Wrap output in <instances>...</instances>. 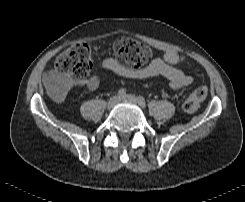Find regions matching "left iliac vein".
I'll return each instance as SVG.
<instances>
[{
    "mask_svg": "<svg viewBox=\"0 0 245 202\" xmlns=\"http://www.w3.org/2000/svg\"><path fill=\"white\" fill-rule=\"evenodd\" d=\"M122 100L125 102L139 104L138 98L132 94H128V95L123 96Z\"/></svg>",
    "mask_w": 245,
    "mask_h": 202,
    "instance_id": "obj_1",
    "label": "left iliac vein"
}]
</instances>
